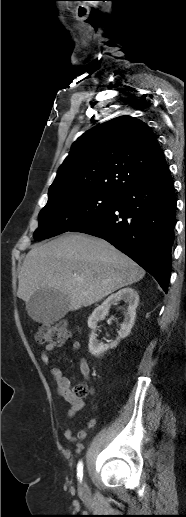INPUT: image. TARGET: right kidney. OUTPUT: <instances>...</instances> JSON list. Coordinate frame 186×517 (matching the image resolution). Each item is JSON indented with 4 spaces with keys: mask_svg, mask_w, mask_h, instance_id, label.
I'll use <instances>...</instances> for the list:
<instances>
[{
    "mask_svg": "<svg viewBox=\"0 0 186 517\" xmlns=\"http://www.w3.org/2000/svg\"><path fill=\"white\" fill-rule=\"evenodd\" d=\"M123 300L128 306L124 313V321L118 331V337L110 344L100 342L95 334L97 323L104 319L108 314L112 305H117ZM139 303V295L134 289L127 287L119 290L117 293L110 295L100 306L94 309L88 318V327L92 330L89 338V352L94 356H99L108 349H112L118 345L121 339L127 337L134 325L136 317V308Z\"/></svg>",
    "mask_w": 186,
    "mask_h": 517,
    "instance_id": "ca27d5eb",
    "label": "right kidney"
}]
</instances>
